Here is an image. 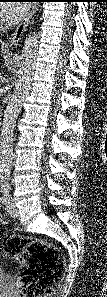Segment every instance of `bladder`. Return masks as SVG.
Segmentation results:
<instances>
[{
	"instance_id": "1",
	"label": "bladder",
	"mask_w": 107,
	"mask_h": 297,
	"mask_svg": "<svg viewBox=\"0 0 107 297\" xmlns=\"http://www.w3.org/2000/svg\"><path fill=\"white\" fill-rule=\"evenodd\" d=\"M0 277H1V280L4 279V273L2 272V270H0Z\"/></svg>"
}]
</instances>
